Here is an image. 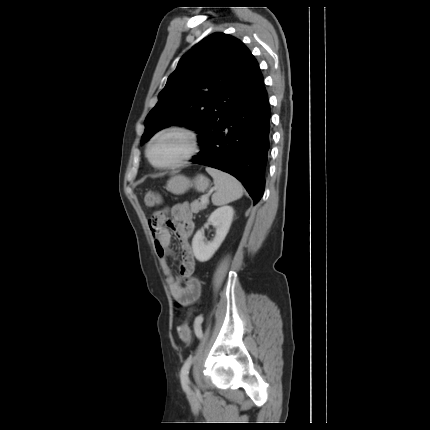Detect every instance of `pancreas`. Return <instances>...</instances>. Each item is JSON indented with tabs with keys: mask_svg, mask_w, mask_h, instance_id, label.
Wrapping results in <instances>:
<instances>
[{
	"mask_svg": "<svg viewBox=\"0 0 430 430\" xmlns=\"http://www.w3.org/2000/svg\"><path fill=\"white\" fill-rule=\"evenodd\" d=\"M207 204L208 201L202 203L201 201L199 202V200H195L190 204V206L193 213H198L199 211L206 209Z\"/></svg>",
	"mask_w": 430,
	"mask_h": 430,
	"instance_id": "cf45deb5",
	"label": "pancreas"
}]
</instances>
